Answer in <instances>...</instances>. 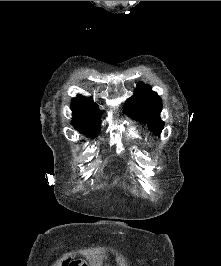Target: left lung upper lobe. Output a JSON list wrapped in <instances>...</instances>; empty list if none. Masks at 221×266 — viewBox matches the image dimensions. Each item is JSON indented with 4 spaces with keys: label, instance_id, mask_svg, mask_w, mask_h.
Here are the masks:
<instances>
[{
    "label": "left lung upper lobe",
    "instance_id": "obj_1",
    "mask_svg": "<svg viewBox=\"0 0 221 266\" xmlns=\"http://www.w3.org/2000/svg\"><path fill=\"white\" fill-rule=\"evenodd\" d=\"M161 109V98L144 83L136 86L135 94L126 101L124 106V112L127 115L141 123H146L156 136L160 135L164 127V122L159 116Z\"/></svg>",
    "mask_w": 221,
    "mask_h": 266
}]
</instances>
